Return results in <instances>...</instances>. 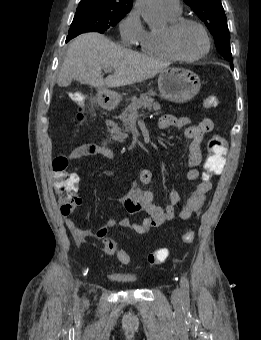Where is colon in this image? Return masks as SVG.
Listing matches in <instances>:
<instances>
[{"label":"colon","mask_w":261,"mask_h":340,"mask_svg":"<svg viewBox=\"0 0 261 340\" xmlns=\"http://www.w3.org/2000/svg\"><path fill=\"white\" fill-rule=\"evenodd\" d=\"M218 103L217 97L209 96L203 101V106L204 108H215L218 106ZM76 119L77 121L83 119V112L80 107L76 112ZM227 147L226 140L220 135H214L208 140V155L204 163L203 179L210 181L214 175L222 171ZM68 165L69 161L64 156L56 157L52 164L54 171L53 187L58 197L60 211L63 215H69L80 204V199L77 196L78 180L75 175L68 171ZM193 239L194 233L192 231H186L182 235V241L184 243H191ZM102 249L107 255H116L122 264H130V256L125 251L119 249L113 239L105 238ZM168 257V249L159 248L148 255L147 262L151 266L159 265L164 263Z\"/></svg>","instance_id":"obj_1"}]
</instances>
